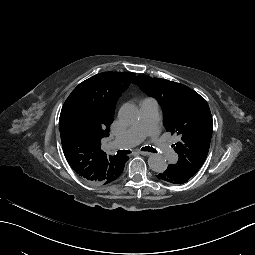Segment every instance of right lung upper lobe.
Returning <instances> with one entry per match:
<instances>
[{"label":"right lung upper lobe","instance_id":"obj_1","mask_svg":"<svg viewBox=\"0 0 255 255\" xmlns=\"http://www.w3.org/2000/svg\"><path fill=\"white\" fill-rule=\"evenodd\" d=\"M135 76L103 72L80 83L65 101L59 119L63 152L73 170L96 185L115 181L127 156H106L101 140L109 136L115 106Z\"/></svg>","mask_w":255,"mask_h":255}]
</instances>
